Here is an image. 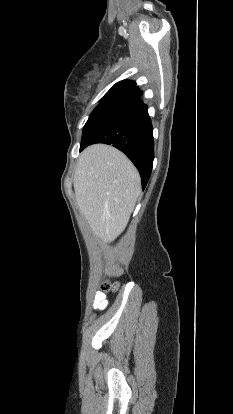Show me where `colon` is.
<instances>
[{"instance_id":"obj_1","label":"colon","mask_w":233,"mask_h":414,"mask_svg":"<svg viewBox=\"0 0 233 414\" xmlns=\"http://www.w3.org/2000/svg\"><path fill=\"white\" fill-rule=\"evenodd\" d=\"M102 288L104 291H115L117 289V283H104Z\"/></svg>"}]
</instances>
